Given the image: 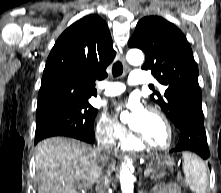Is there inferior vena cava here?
I'll return each instance as SVG.
<instances>
[{
    "label": "inferior vena cava",
    "mask_w": 221,
    "mask_h": 193,
    "mask_svg": "<svg viewBox=\"0 0 221 193\" xmlns=\"http://www.w3.org/2000/svg\"><path fill=\"white\" fill-rule=\"evenodd\" d=\"M114 147V140L111 134H105L98 138V150L102 154V161L106 163L107 156L112 153ZM109 176L110 173H107L103 170H100L97 177L96 191L97 193H107L109 187Z\"/></svg>",
    "instance_id": "obj_1"
}]
</instances>
